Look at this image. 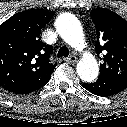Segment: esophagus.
Returning a JSON list of instances; mask_svg holds the SVG:
<instances>
[{
	"label": "esophagus",
	"mask_w": 127,
	"mask_h": 127,
	"mask_svg": "<svg viewBox=\"0 0 127 127\" xmlns=\"http://www.w3.org/2000/svg\"><path fill=\"white\" fill-rule=\"evenodd\" d=\"M64 61H66L68 63H75L77 61V57L72 55L69 58H65Z\"/></svg>",
	"instance_id": "obj_1"
}]
</instances>
